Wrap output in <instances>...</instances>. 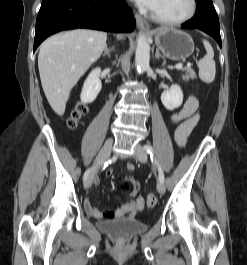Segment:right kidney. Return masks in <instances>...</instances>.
Returning <instances> with one entry per match:
<instances>
[{"mask_svg": "<svg viewBox=\"0 0 247 265\" xmlns=\"http://www.w3.org/2000/svg\"><path fill=\"white\" fill-rule=\"evenodd\" d=\"M101 73L100 68H96L91 71L88 75L87 79L84 82L82 92H81V101L83 103H91L93 102L97 95L99 94L102 84L99 78Z\"/></svg>", "mask_w": 247, "mask_h": 265, "instance_id": "right-kidney-1", "label": "right kidney"}]
</instances>
